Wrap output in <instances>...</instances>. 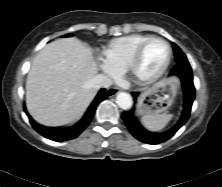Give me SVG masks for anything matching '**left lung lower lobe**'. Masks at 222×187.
<instances>
[{
  "instance_id": "left-lung-lower-lobe-1",
  "label": "left lung lower lobe",
  "mask_w": 222,
  "mask_h": 187,
  "mask_svg": "<svg viewBox=\"0 0 222 187\" xmlns=\"http://www.w3.org/2000/svg\"><path fill=\"white\" fill-rule=\"evenodd\" d=\"M170 75H176L181 79L183 88V111L176 124L163 133H151L143 129L134 115L135 107L122 114V119L130 133L139 141L147 144H159L171 138L189 119L191 107L195 98L193 75L189 63H177L171 70ZM136 101L138 93H132Z\"/></svg>"
}]
</instances>
